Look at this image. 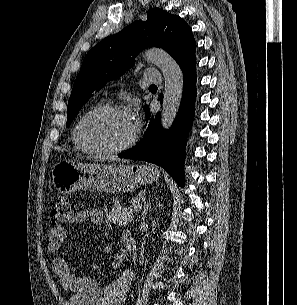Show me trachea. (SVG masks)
Listing matches in <instances>:
<instances>
[{"label": "trachea", "mask_w": 297, "mask_h": 305, "mask_svg": "<svg viewBox=\"0 0 297 305\" xmlns=\"http://www.w3.org/2000/svg\"><path fill=\"white\" fill-rule=\"evenodd\" d=\"M150 87H157L156 85H151Z\"/></svg>", "instance_id": "trachea-1"}]
</instances>
